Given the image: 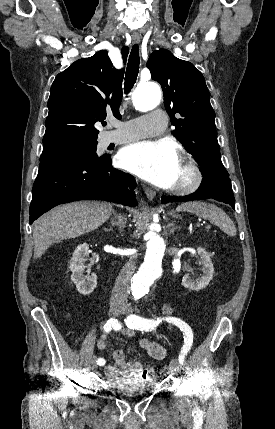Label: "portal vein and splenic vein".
Listing matches in <instances>:
<instances>
[{
    "label": "portal vein and splenic vein",
    "instance_id": "portal-vein-and-splenic-vein-1",
    "mask_svg": "<svg viewBox=\"0 0 275 429\" xmlns=\"http://www.w3.org/2000/svg\"><path fill=\"white\" fill-rule=\"evenodd\" d=\"M206 227H207L208 229H210V228H211V226H210V225H207Z\"/></svg>",
    "mask_w": 275,
    "mask_h": 429
}]
</instances>
